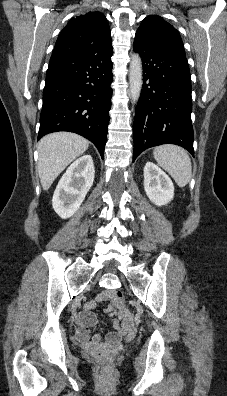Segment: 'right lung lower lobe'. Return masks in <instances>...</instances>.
I'll return each instance as SVG.
<instances>
[{
  "label": "right lung lower lobe",
  "mask_w": 227,
  "mask_h": 396,
  "mask_svg": "<svg viewBox=\"0 0 227 396\" xmlns=\"http://www.w3.org/2000/svg\"><path fill=\"white\" fill-rule=\"evenodd\" d=\"M112 45L51 60L46 73L38 140L56 131L90 140L103 158L113 80Z\"/></svg>",
  "instance_id": "obj_1"
}]
</instances>
